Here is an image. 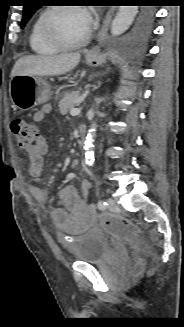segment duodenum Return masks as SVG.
Instances as JSON below:
<instances>
[{
  "label": "duodenum",
  "instance_id": "1",
  "mask_svg": "<svg viewBox=\"0 0 184 327\" xmlns=\"http://www.w3.org/2000/svg\"><path fill=\"white\" fill-rule=\"evenodd\" d=\"M80 144L83 147L86 143V130L84 127L79 128Z\"/></svg>",
  "mask_w": 184,
  "mask_h": 327
}]
</instances>
